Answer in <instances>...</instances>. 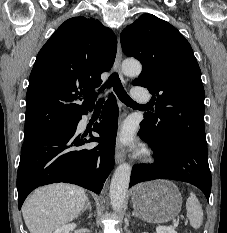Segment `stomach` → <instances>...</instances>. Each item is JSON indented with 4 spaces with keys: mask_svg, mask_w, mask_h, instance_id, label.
<instances>
[{
    "mask_svg": "<svg viewBox=\"0 0 227 233\" xmlns=\"http://www.w3.org/2000/svg\"><path fill=\"white\" fill-rule=\"evenodd\" d=\"M132 203L143 220L164 223L180 213L182 197L172 182L157 180L137 185L133 189Z\"/></svg>",
    "mask_w": 227,
    "mask_h": 233,
    "instance_id": "0dacf381",
    "label": "stomach"
}]
</instances>
